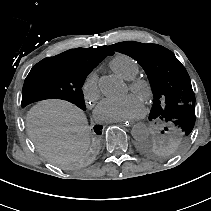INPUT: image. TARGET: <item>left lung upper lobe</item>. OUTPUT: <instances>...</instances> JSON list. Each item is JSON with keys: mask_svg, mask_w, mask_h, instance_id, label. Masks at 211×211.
<instances>
[{"mask_svg": "<svg viewBox=\"0 0 211 211\" xmlns=\"http://www.w3.org/2000/svg\"><path fill=\"white\" fill-rule=\"evenodd\" d=\"M109 47L134 58L150 81L154 103L149 120L159 125L161 134L141 142L140 150L154 158L179 152L195 125V94L186 69L170 50L157 44L128 41Z\"/></svg>", "mask_w": 211, "mask_h": 211, "instance_id": "obj_1", "label": "left lung upper lobe"}]
</instances>
